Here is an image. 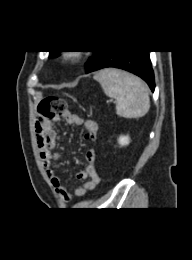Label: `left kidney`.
<instances>
[{
  "instance_id": "1",
  "label": "left kidney",
  "mask_w": 192,
  "mask_h": 260,
  "mask_svg": "<svg viewBox=\"0 0 192 260\" xmlns=\"http://www.w3.org/2000/svg\"><path fill=\"white\" fill-rule=\"evenodd\" d=\"M118 142L121 146H125V145H128L129 142H130V138L129 136H124V135H121L118 139Z\"/></svg>"
}]
</instances>
